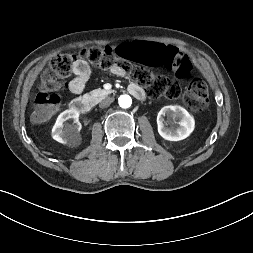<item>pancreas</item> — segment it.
I'll return each instance as SVG.
<instances>
[{
    "instance_id": "cf45deb5",
    "label": "pancreas",
    "mask_w": 253,
    "mask_h": 253,
    "mask_svg": "<svg viewBox=\"0 0 253 253\" xmlns=\"http://www.w3.org/2000/svg\"><path fill=\"white\" fill-rule=\"evenodd\" d=\"M112 91L110 90H104V89H96L90 92V97L92 99H102L104 97H106L107 95H109Z\"/></svg>"
}]
</instances>
